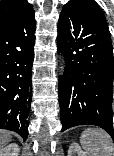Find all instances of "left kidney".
Returning <instances> with one entry per match:
<instances>
[{"instance_id":"5707ae66","label":"left kidney","mask_w":114,"mask_h":156,"mask_svg":"<svg viewBox=\"0 0 114 156\" xmlns=\"http://www.w3.org/2000/svg\"><path fill=\"white\" fill-rule=\"evenodd\" d=\"M68 156H86V154L76 142H73L68 149Z\"/></svg>"}]
</instances>
